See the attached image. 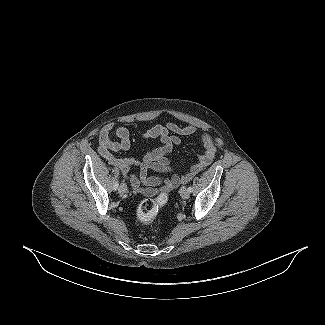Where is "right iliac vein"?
<instances>
[{
	"instance_id": "obj_1",
	"label": "right iliac vein",
	"mask_w": 325,
	"mask_h": 325,
	"mask_svg": "<svg viewBox=\"0 0 325 325\" xmlns=\"http://www.w3.org/2000/svg\"><path fill=\"white\" fill-rule=\"evenodd\" d=\"M118 191L120 194H125L127 192V185L125 183H121Z\"/></svg>"
}]
</instances>
